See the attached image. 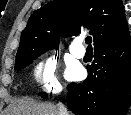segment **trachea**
Segmentation results:
<instances>
[{
  "label": "trachea",
  "mask_w": 131,
  "mask_h": 115,
  "mask_svg": "<svg viewBox=\"0 0 131 115\" xmlns=\"http://www.w3.org/2000/svg\"><path fill=\"white\" fill-rule=\"evenodd\" d=\"M85 43L88 45V49H92L91 43H92V38L91 37H86Z\"/></svg>",
  "instance_id": "trachea-1"
}]
</instances>
